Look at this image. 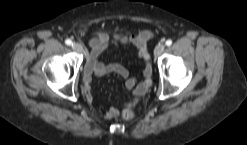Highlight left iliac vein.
I'll return each mask as SVG.
<instances>
[{"instance_id": "obj_1", "label": "left iliac vein", "mask_w": 247, "mask_h": 145, "mask_svg": "<svg viewBox=\"0 0 247 145\" xmlns=\"http://www.w3.org/2000/svg\"><path fill=\"white\" fill-rule=\"evenodd\" d=\"M164 49H165V45L163 43H158L154 50L155 56L161 55Z\"/></svg>"}]
</instances>
